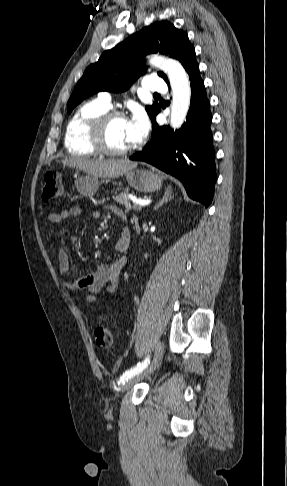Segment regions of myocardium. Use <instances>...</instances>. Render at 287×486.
Wrapping results in <instances>:
<instances>
[{"instance_id": "1", "label": "myocardium", "mask_w": 287, "mask_h": 486, "mask_svg": "<svg viewBox=\"0 0 287 486\" xmlns=\"http://www.w3.org/2000/svg\"><path fill=\"white\" fill-rule=\"evenodd\" d=\"M116 119H126V115L122 111L111 109L91 122L88 130V140L97 153L117 157L127 155L134 149L133 145L124 149H113L107 144V130Z\"/></svg>"}]
</instances>
